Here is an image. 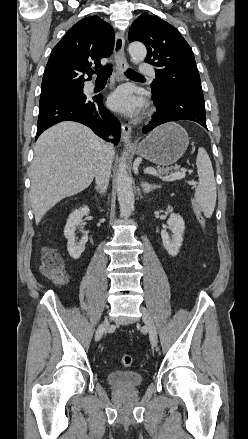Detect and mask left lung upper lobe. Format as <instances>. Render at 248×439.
<instances>
[{
	"label": "left lung upper lobe",
	"mask_w": 248,
	"mask_h": 439,
	"mask_svg": "<svg viewBox=\"0 0 248 439\" xmlns=\"http://www.w3.org/2000/svg\"><path fill=\"white\" fill-rule=\"evenodd\" d=\"M129 41L143 42L145 62L156 67L151 85L155 96L181 94L204 99L193 51L174 26L142 14L130 27Z\"/></svg>",
	"instance_id": "5c2ea615"
}]
</instances>
